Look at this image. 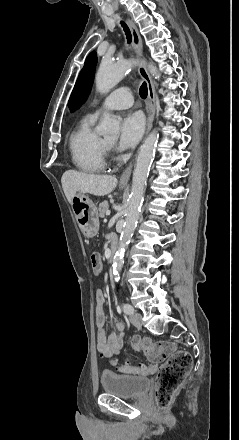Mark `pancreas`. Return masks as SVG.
<instances>
[{
  "mask_svg": "<svg viewBox=\"0 0 239 440\" xmlns=\"http://www.w3.org/2000/svg\"><path fill=\"white\" fill-rule=\"evenodd\" d=\"M109 208L108 202H101L99 204L98 212H99V218H105V214Z\"/></svg>",
  "mask_w": 239,
  "mask_h": 440,
  "instance_id": "cf45deb5",
  "label": "pancreas"
}]
</instances>
